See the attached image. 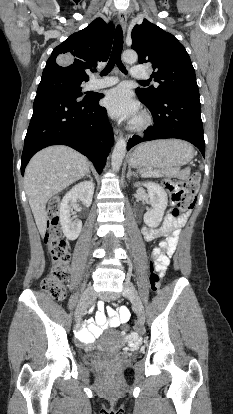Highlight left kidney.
I'll list each match as a JSON object with an SVG mask.
<instances>
[{"mask_svg": "<svg viewBox=\"0 0 233 414\" xmlns=\"http://www.w3.org/2000/svg\"><path fill=\"white\" fill-rule=\"evenodd\" d=\"M136 187L145 186L148 190L149 202L152 206V210L144 214V222L149 227H157L162 221L164 211L167 207V194L165 190L157 183L145 182L135 183Z\"/></svg>", "mask_w": 233, "mask_h": 414, "instance_id": "obj_1", "label": "left kidney"}]
</instances>
